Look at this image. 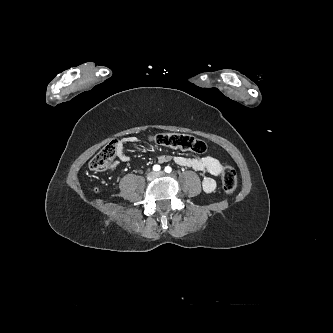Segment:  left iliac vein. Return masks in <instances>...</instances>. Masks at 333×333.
Segmentation results:
<instances>
[{
    "label": "left iliac vein",
    "instance_id": "obj_1",
    "mask_svg": "<svg viewBox=\"0 0 333 333\" xmlns=\"http://www.w3.org/2000/svg\"><path fill=\"white\" fill-rule=\"evenodd\" d=\"M163 172L161 171V172H158V173H156V177H160V176H163Z\"/></svg>",
    "mask_w": 333,
    "mask_h": 333
}]
</instances>
